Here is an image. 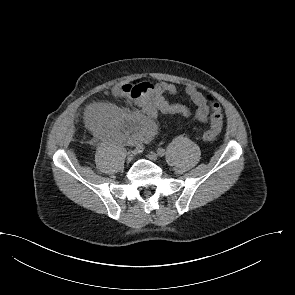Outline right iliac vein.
Wrapping results in <instances>:
<instances>
[{"instance_id": "right-iliac-vein-1", "label": "right iliac vein", "mask_w": 295, "mask_h": 295, "mask_svg": "<svg viewBox=\"0 0 295 295\" xmlns=\"http://www.w3.org/2000/svg\"><path fill=\"white\" fill-rule=\"evenodd\" d=\"M135 151H129L128 153H127V160L128 161H132L133 160V158H134V156H135Z\"/></svg>"}]
</instances>
